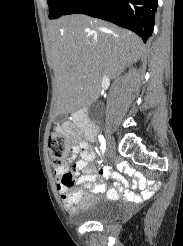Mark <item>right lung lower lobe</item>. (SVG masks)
<instances>
[{"label": "right lung lower lobe", "instance_id": "obj_1", "mask_svg": "<svg viewBox=\"0 0 183 246\" xmlns=\"http://www.w3.org/2000/svg\"><path fill=\"white\" fill-rule=\"evenodd\" d=\"M157 0H75L64 13L85 14L132 30L144 42L152 35Z\"/></svg>", "mask_w": 183, "mask_h": 246}]
</instances>
